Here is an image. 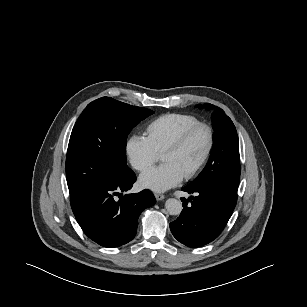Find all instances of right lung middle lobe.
<instances>
[{
  "label": "right lung middle lobe",
  "instance_id": "dd1d6c3e",
  "mask_svg": "<svg viewBox=\"0 0 307 307\" xmlns=\"http://www.w3.org/2000/svg\"><path fill=\"white\" fill-rule=\"evenodd\" d=\"M151 114L152 110L110 97L87 105L72 130L67 150L66 178L71 199L128 170L127 136Z\"/></svg>",
  "mask_w": 307,
  "mask_h": 307
}]
</instances>
